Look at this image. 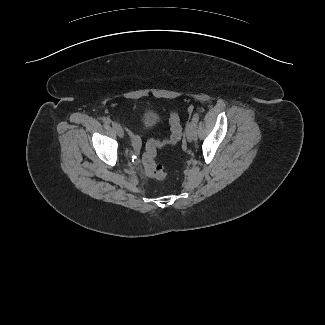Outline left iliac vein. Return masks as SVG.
<instances>
[{"instance_id": "4c4485c4", "label": "left iliac vein", "mask_w": 325, "mask_h": 325, "mask_svg": "<svg viewBox=\"0 0 325 325\" xmlns=\"http://www.w3.org/2000/svg\"><path fill=\"white\" fill-rule=\"evenodd\" d=\"M185 135L189 142H192L194 140V134H193L191 122L187 123L186 125Z\"/></svg>"}]
</instances>
